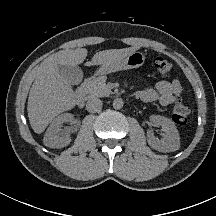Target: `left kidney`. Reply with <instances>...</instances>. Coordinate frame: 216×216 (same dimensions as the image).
<instances>
[{
    "instance_id": "left-kidney-1",
    "label": "left kidney",
    "mask_w": 216,
    "mask_h": 216,
    "mask_svg": "<svg viewBox=\"0 0 216 216\" xmlns=\"http://www.w3.org/2000/svg\"><path fill=\"white\" fill-rule=\"evenodd\" d=\"M150 121L154 125L161 126L165 132L163 139L156 138L153 134H148V144L151 148L160 152H173L180 148V137L175 124L168 118L160 115H151Z\"/></svg>"
}]
</instances>
